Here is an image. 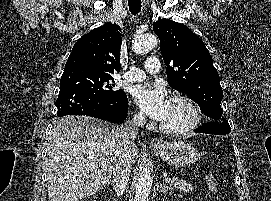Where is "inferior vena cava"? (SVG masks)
I'll return each mask as SVG.
<instances>
[{
	"label": "inferior vena cava",
	"mask_w": 271,
	"mask_h": 201,
	"mask_svg": "<svg viewBox=\"0 0 271 201\" xmlns=\"http://www.w3.org/2000/svg\"><path fill=\"white\" fill-rule=\"evenodd\" d=\"M144 123L145 116L139 113L116 129L119 149L114 159L112 184L118 196H121L126 189L132 168L131 150L139 127Z\"/></svg>",
	"instance_id": "1"
}]
</instances>
